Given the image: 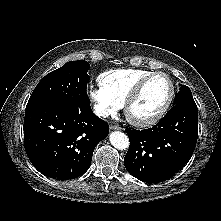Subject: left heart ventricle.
<instances>
[{"label": "left heart ventricle", "instance_id": "left-heart-ventricle-1", "mask_svg": "<svg viewBox=\"0 0 221 221\" xmlns=\"http://www.w3.org/2000/svg\"><path fill=\"white\" fill-rule=\"evenodd\" d=\"M170 92V85L164 76L152 78L144 87L140 97L130 108V115L145 119L156 114L164 105Z\"/></svg>", "mask_w": 221, "mask_h": 221}]
</instances>
